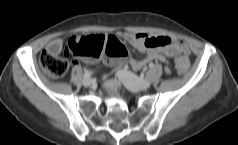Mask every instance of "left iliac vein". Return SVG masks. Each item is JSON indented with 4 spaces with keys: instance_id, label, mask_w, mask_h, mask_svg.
Here are the masks:
<instances>
[{
    "instance_id": "1",
    "label": "left iliac vein",
    "mask_w": 238,
    "mask_h": 145,
    "mask_svg": "<svg viewBox=\"0 0 238 145\" xmlns=\"http://www.w3.org/2000/svg\"><path fill=\"white\" fill-rule=\"evenodd\" d=\"M117 77L122 84L133 92L145 90L150 87L151 83L147 79H140L133 73L125 70L117 71Z\"/></svg>"
}]
</instances>
